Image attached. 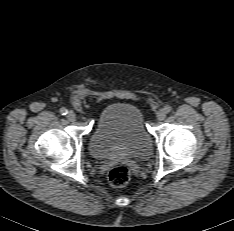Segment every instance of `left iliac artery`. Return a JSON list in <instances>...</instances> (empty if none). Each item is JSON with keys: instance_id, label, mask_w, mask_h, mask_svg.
I'll use <instances>...</instances> for the list:
<instances>
[{"instance_id": "1", "label": "left iliac artery", "mask_w": 234, "mask_h": 231, "mask_svg": "<svg viewBox=\"0 0 234 231\" xmlns=\"http://www.w3.org/2000/svg\"><path fill=\"white\" fill-rule=\"evenodd\" d=\"M164 110L166 113H170L172 108H171V106L167 105V106H165Z\"/></svg>"}]
</instances>
